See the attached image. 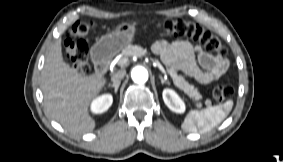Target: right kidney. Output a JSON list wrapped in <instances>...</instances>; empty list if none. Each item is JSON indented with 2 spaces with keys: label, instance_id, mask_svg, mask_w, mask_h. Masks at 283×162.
<instances>
[{
  "label": "right kidney",
  "instance_id": "1",
  "mask_svg": "<svg viewBox=\"0 0 283 162\" xmlns=\"http://www.w3.org/2000/svg\"><path fill=\"white\" fill-rule=\"evenodd\" d=\"M113 98L110 94H104L100 97H97L91 103V110L95 114H101L109 109L112 105Z\"/></svg>",
  "mask_w": 283,
  "mask_h": 162
}]
</instances>
